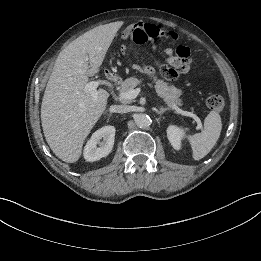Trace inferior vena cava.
<instances>
[{"mask_svg":"<svg viewBox=\"0 0 261 261\" xmlns=\"http://www.w3.org/2000/svg\"><path fill=\"white\" fill-rule=\"evenodd\" d=\"M111 108L114 112H117V113L129 112V106H127V105H114Z\"/></svg>","mask_w":261,"mask_h":261,"instance_id":"1","label":"inferior vena cava"}]
</instances>
